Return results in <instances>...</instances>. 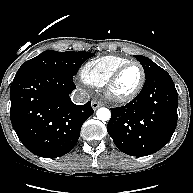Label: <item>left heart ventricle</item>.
<instances>
[{
	"label": "left heart ventricle",
	"mask_w": 193,
	"mask_h": 193,
	"mask_svg": "<svg viewBox=\"0 0 193 193\" xmlns=\"http://www.w3.org/2000/svg\"><path fill=\"white\" fill-rule=\"evenodd\" d=\"M141 78L140 69L137 66L127 68L119 77L115 85V93L126 95L132 92L138 85Z\"/></svg>",
	"instance_id": "b2bd125f"
}]
</instances>
